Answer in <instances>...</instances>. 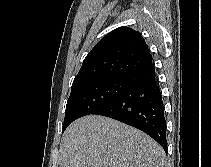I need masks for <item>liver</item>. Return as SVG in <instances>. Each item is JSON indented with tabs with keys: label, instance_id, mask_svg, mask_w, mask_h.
<instances>
[{
	"label": "liver",
	"instance_id": "6515ba94",
	"mask_svg": "<svg viewBox=\"0 0 211 167\" xmlns=\"http://www.w3.org/2000/svg\"><path fill=\"white\" fill-rule=\"evenodd\" d=\"M60 167H166V156L163 148L140 130L89 115L65 130Z\"/></svg>",
	"mask_w": 211,
	"mask_h": 167
}]
</instances>
